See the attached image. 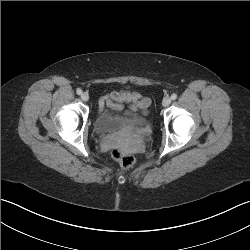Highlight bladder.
I'll list each match as a JSON object with an SVG mask.
<instances>
[{"instance_id": "obj_1", "label": "bladder", "mask_w": 250, "mask_h": 250, "mask_svg": "<svg viewBox=\"0 0 250 250\" xmlns=\"http://www.w3.org/2000/svg\"><path fill=\"white\" fill-rule=\"evenodd\" d=\"M149 123L147 114H122L106 109L99 112L94 119V130L99 135H109L126 130H140Z\"/></svg>"}]
</instances>
